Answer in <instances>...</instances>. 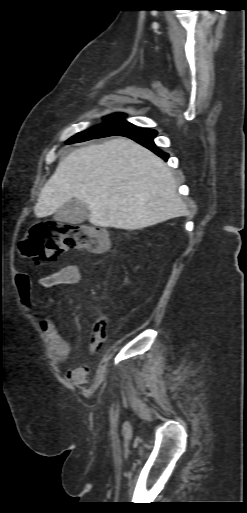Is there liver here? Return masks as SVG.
Wrapping results in <instances>:
<instances>
[{
    "label": "liver",
    "mask_w": 247,
    "mask_h": 513,
    "mask_svg": "<svg viewBox=\"0 0 247 513\" xmlns=\"http://www.w3.org/2000/svg\"><path fill=\"white\" fill-rule=\"evenodd\" d=\"M72 198L100 227L138 230L187 213L175 178L161 158L131 139L117 137L78 148L62 159L44 185L35 215H52Z\"/></svg>",
    "instance_id": "liver-1"
}]
</instances>
